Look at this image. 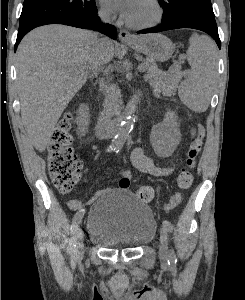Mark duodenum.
Listing matches in <instances>:
<instances>
[{
    "label": "duodenum",
    "mask_w": 245,
    "mask_h": 300,
    "mask_svg": "<svg viewBox=\"0 0 245 300\" xmlns=\"http://www.w3.org/2000/svg\"><path fill=\"white\" fill-rule=\"evenodd\" d=\"M141 108V100L136 99L132 109L130 110V114L133 116H137ZM122 118H111L106 112L103 110H99L97 112V126L104 132L106 136L116 134L121 127Z\"/></svg>",
    "instance_id": "410a0bca"
}]
</instances>
